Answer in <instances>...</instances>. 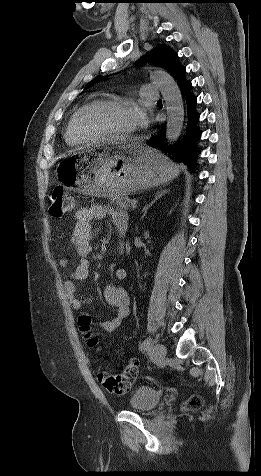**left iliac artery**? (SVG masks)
<instances>
[{"mask_svg": "<svg viewBox=\"0 0 261 476\" xmlns=\"http://www.w3.org/2000/svg\"><path fill=\"white\" fill-rule=\"evenodd\" d=\"M152 344V339L151 338H147L145 339L139 346V348L141 350H145V349H148Z\"/></svg>", "mask_w": 261, "mask_h": 476, "instance_id": "1", "label": "left iliac artery"}]
</instances>
